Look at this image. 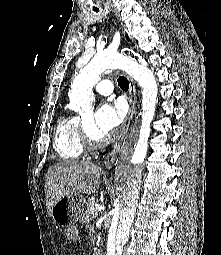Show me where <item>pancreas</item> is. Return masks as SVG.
Wrapping results in <instances>:
<instances>
[{"instance_id":"1","label":"pancreas","mask_w":221,"mask_h":255,"mask_svg":"<svg viewBox=\"0 0 221 255\" xmlns=\"http://www.w3.org/2000/svg\"><path fill=\"white\" fill-rule=\"evenodd\" d=\"M95 197L91 196L87 202H85L84 212L81 218V221L85 224H88L94 216H92V211L95 210Z\"/></svg>"}]
</instances>
